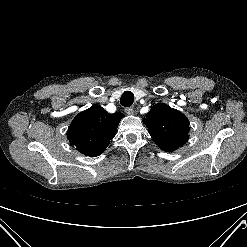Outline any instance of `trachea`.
<instances>
[{"label":"trachea","instance_id":"trachea-1","mask_svg":"<svg viewBox=\"0 0 247 247\" xmlns=\"http://www.w3.org/2000/svg\"><path fill=\"white\" fill-rule=\"evenodd\" d=\"M134 102V94L131 91H125L120 99V103L124 107H129Z\"/></svg>","mask_w":247,"mask_h":247}]
</instances>
